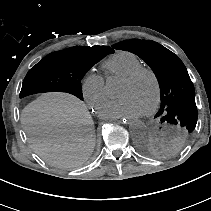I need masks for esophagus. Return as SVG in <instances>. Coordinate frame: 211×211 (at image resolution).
<instances>
[{
    "instance_id": "34e87169",
    "label": "esophagus",
    "mask_w": 211,
    "mask_h": 211,
    "mask_svg": "<svg viewBox=\"0 0 211 211\" xmlns=\"http://www.w3.org/2000/svg\"><path fill=\"white\" fill-rule=\"evenodd\" d=\"M118 123L121 125H126L127 124V119L124 117H119L118 118Z\"/></svg>"
}]
</instances>
